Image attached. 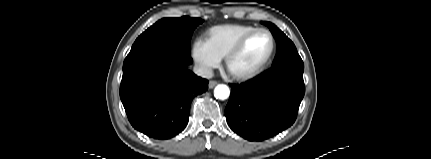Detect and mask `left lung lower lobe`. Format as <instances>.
Wrapping results in <instances>:
<instances>
[{"instance_id":"obj_1","label":"left lung lower lobe","mask_w":431,"mask_h":159,"mask_svg":"<svg viewBox=\"0 0 431 159\" xmlns=\"http://www.w3.org/2000/svg\"><path fill=\"white\" fill-rule=\"evenodd\" d=\"M304 64L271 67L241 84H230L225 109L229 127L249 141H263L290 127L305 94Z\"/></svg>"}]
</instances>
